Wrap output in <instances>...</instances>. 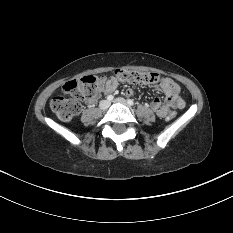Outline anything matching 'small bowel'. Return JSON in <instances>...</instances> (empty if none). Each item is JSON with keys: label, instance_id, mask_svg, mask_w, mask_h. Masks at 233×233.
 <instances>
[{"label": "small bowel", "instance_id": "small-bowel-1", "mask_svg": "<svg viewBox=\"0 0 233 233\" xmlns=\"http://www.w3.org/2000/svg\"><path fill=\"white\" fill-rule=\"evenodd\" d=\"M118 86V80L115 77H101L99 79V88L97 92L87 99L88 104H94L100 94H109L115 91ZM161 90L165 95V100L158 98L151 103L152 110L159 117H166L171 114L173 109H182L184 101L179 95L180 88L173 80L166 78L161 83ZM133 91L127 90V95H131Z\"/></svg>", "mask_w": 233, "mask_h": 233}]
</instances>
